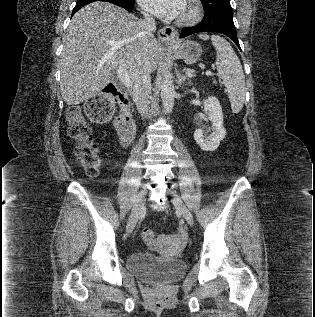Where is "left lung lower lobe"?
I'll return each instance as SVG.
<instances>
[{
	"mask_svg": "<svg viewBox=\"0 0 315 317\" xmlns=\"http://www.w3.org/2000/svg\"><path fill=\"white\" fill-rule=\"evenodd\" d=\"M218 32L231 38L235 44L240 48L239 41L236 35V29L233 22V17H224L217 20H210L203 18L202 22L193 27L182 29L181 38L198 32Z\"/></svg>",
	"mask_w": 315,
	"mask_h": 317,
	"instance_id": "1",
	"label": "left lung lower lobe"
}]
</instances>
